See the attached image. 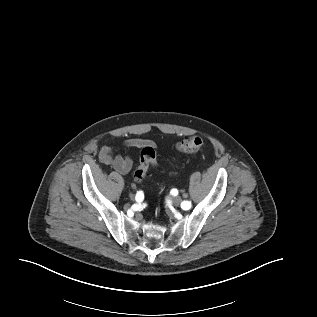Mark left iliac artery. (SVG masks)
Here are the masks:
<instances>
[{
    "label": "left iliac artery",
    "instance_id": "44dca946",
    "mask_svg": "<svg viewBox=\"0 0 317 317\" xmlns=\"http://www.w3.org/2000/svg\"><path fill=\"white\" fill-rule=\"evenodd\" d=\"M191 207V202L189 201H183L182 208L183 209H189Z\"/></svg>",
    "mask_w": 317,
    "mask_h": 317
}]
</instances>
